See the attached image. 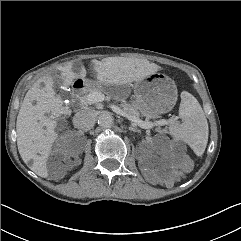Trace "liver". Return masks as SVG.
I'll return each instance as SVG.
<instances>
[{
    "mask_svg": "<svg viewBox=\"0 0 241 241\" xmlns=\"http://www.w3.org/2000/svg\"><path fill=\"white\" fill-rule=\"evenodd\" d=\"M73 62L66 63L60 70L66 86L74 79L85 77L72 71ZM97 73V80L106 84L126 85L138 82L148 75L158 71V66L145 60L108 57L93 62ZM44 86L36 82L28 90L20 107L17 121V146L24 163L41 177H47V157L53 141L57 137L55 132V116L62 112V99L53 89V80H44ZM36 104H33V102ZM51 113L52 116H47Z\"/></svg>",
    "mask_w": 241,
    "mask_h": 241,
    "instance_id": "1",
    "label": "liver"
}]
</instances>
